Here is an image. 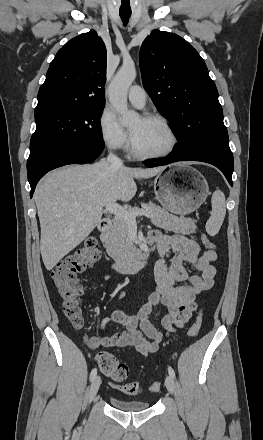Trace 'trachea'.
Listing matches in <instances>:
<instances>
[{"mask_svg": "<svg viewBox=\"0 0 263 440\" xmlns=\"http://www.w3.org/2000/svg\"><path fill=\"white\" fill-rule=\"evenodd\" d=\"M120 17H121V19H122V21L124 22V23H127L128 22V19L130 18V16H131V11H129V12H122V11H120Z\"/></svg>", "mask_w": 263, "mask_h": 440, "instance_id": "3493384b", "label": "trachea"}]
</instances>
